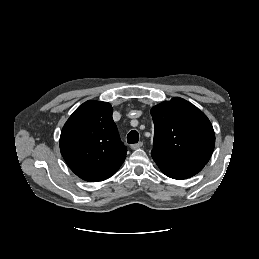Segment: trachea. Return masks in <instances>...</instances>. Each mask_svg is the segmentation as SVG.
<instances>
[{"label":"trachea","mask_w":259,"mask_h":259,"mask_svg":"<svg viewBox=\"0 0 259 259\" xmlns=\"http://www.w3.org/2000/svg\"><path fill=\"white\" fill-rule=\"evenodd\" d=\"M139 141V134L136 130H132L127 135V142L129 144H135Z\"/></svg>","instance_id":"trachea-1"}]
</instances>
